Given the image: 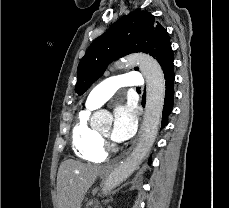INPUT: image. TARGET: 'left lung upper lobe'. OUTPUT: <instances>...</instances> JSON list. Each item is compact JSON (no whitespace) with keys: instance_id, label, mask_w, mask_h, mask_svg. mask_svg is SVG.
Returning <instances> with one entry per match:
<instances>
[{"instance_id":"5c2ea615","label":"left lung upper lobe","mask_w":229,"mask_h":208,"mask_svg":"<svg viewBox=\"0 0 229 208\" xmlns=\"http://www.w3.org/2000/svg\"><path fill=\"white\" fill-rule=\"evenodd\" d=\"M133 52L153 56L163 71L173 60L166 28L149 12L133 11L124 15L92 42L78 65L75 92L82 95L104 73L112 60Z\"/></svg>"}]
</instances>
